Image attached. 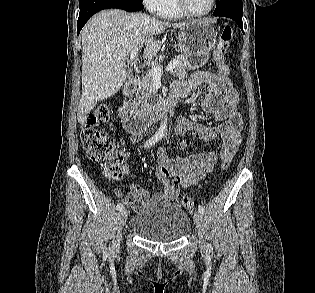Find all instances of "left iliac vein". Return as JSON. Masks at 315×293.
Returning a JSON list of instances; mask_svg holds the SVG:
<instances>
[{
	"label": "left iliac vein",
	"instance_id": "left-iliac-vein-1",
	"mask_svg": "<svg viewBox=\"0 0 315 293\" xmlns=\"http://www.w3.org/2000/svg\"><path fill=\"white\" fill-rule=\"evenodd\" d=\"M194 221H195V224H196V227L198 229V234H199V238H200V247L202 249L205 248V241H204V238L202 236V227H203V216L200 212H195L194 213Z\"/></svg>",
	"mask_w": 315,
	"mask_h": 293
}]
</instances>
